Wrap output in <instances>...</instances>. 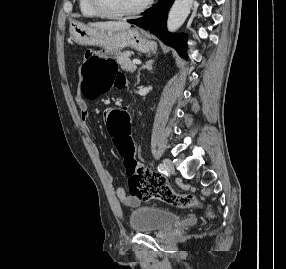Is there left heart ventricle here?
<instances>
[{
	"label": "left heart ventricle",
	"instance_id": "1",
	"mask_svg": "<svg viewBox=\"0 0 286 269\" xmlns=\"http://www.w3.org/2000/svg\"><path fill=\"white\" fill-rule=\"evenodd\" d=\"M103 6L114 13H124L135 10L147 0H101Z\"/></svg>",
	"mask_w": 286,
	"mask_h": 269
}]
</instances>
